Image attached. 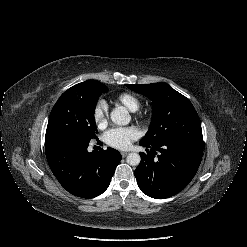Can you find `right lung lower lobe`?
Returning <instances> with one entry per match:
<instances>
[{
	"label": "right lung lower lobe",
	"instance_id": "right-lung-lower-lobe-1",
	"mask_svg": "<svg viewBox=\"0 0 247 247\" xmlns=\"http://www.w3.org/2000/svg\"><path fill=\"white\" fill-rule=\"evenodd\" d=\"M90 141L70 136L45 139V152L51 171L69 193L94 198L109 186L122 159L112 148L88 152Z\"/></svg>",
	"mask_w": 247,
	"mask_h": 247
}]
</instances>
